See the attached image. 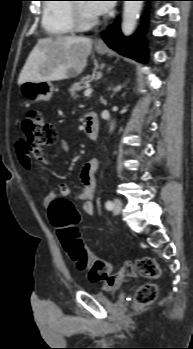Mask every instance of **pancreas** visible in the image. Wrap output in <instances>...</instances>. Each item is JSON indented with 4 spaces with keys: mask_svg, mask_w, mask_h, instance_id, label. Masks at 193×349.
Here are the masks:
<instances>
[{
    "mask_svg": "<svg viewBox=\"0 0 193 349\" xmlns=\"http://www.w3.org/2000/svg\"><path fill=\"white\" fill-rule=\"evenodd\" d=\"M90 76L83 77L80 81L75 82L72 84V86L69 88L70 95L73 98H77V92L81 91L84 87H87L89 85Z\"/></svg>",
    "mask_w": 193,
    "mask_h": 349,
    "instance_id": "cf45deb5",
    "label": "pancreas"
}]
</instances>
